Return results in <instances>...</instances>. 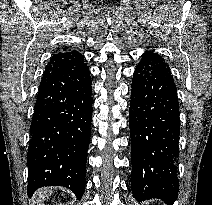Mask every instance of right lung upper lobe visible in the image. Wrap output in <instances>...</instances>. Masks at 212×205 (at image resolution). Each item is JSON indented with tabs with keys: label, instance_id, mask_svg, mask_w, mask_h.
I'll return each mask as SVG.
<instances>
[{
	"label": "right lung upper lobe",
	"instance_id": "1",
	"mask_svg": "<svg viewBox=\"0 0 212 205\" xmlns=\"http://www.w3.org/2000/svg\"><path fill=\"white\" fill-rule=\"evenodd\" d=\"M67 51H70V50H68V48H62L61 50L58 51V53H60V52H67Z\"/></svg>",
	"mask_w": 212,
	"mask_h": 205
}]
</instances>
